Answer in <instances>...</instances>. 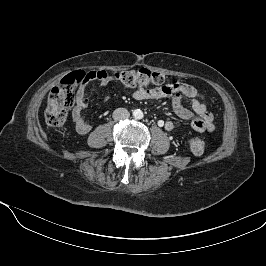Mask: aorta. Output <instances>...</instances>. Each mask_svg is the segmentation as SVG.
<instances>
[{"label": "aorta", "instance_id": "aorta-1", "mask_svg": "<svg viewBox=\"0 0 266 266\" xmlns=\"http://www.w3.org/2000/svg\"><path fill=\"white\" fill-rule=\"evenodd\" d=\"M133 116H134L136 119H142V118H143V112H142L140 109H136V110H134V112H133Z\"/></svg>", "mask_w": 266, "mask_h": 266}]
</instances>
